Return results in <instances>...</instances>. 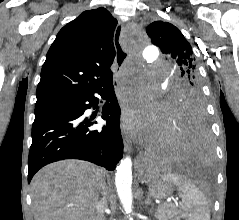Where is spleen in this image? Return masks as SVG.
Wrapping results in <instances>:
<instances>
[{
    "mask_svg": "<svg viewBox=\"0 0 239 220\" xmlns=\"http://www.w3.org/2000/svg\"><path fill=\"white\" fill-rule=\"evenodd\" d=\"M162 180L169 181L178 187L183 202L182 217L186 220H210L208 202L203 193L190 181L176 173L162 176Z\"/></svg>",
    "mask_w": 239,
    "mask_h": 220,
    "instance_id": "obj_1",
    "label": "spleen"
}]
</instances>
